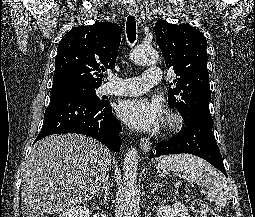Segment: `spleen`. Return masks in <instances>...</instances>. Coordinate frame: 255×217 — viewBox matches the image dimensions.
Listing matches in <instances>:
<instances>
[{
  "mask_svg": "<svg viewBox=\"0 0 255 217\" xmlns=\"http://www.w3.org/2000/svg\"><path fill=\"white\" fill-rule=\"evenodd\" d=\"M170 171H179L191 182L206 187L216 194L215 205L218 208L228 206L232 193L227 180L203 159L190 154L164 156L157 164V172L161 177H166Z\"/></svg>",
  "mask_w": 255,
  "mask_h": 217,
  "instance_id": "3e777b00",
  "label": "spleen"
}]
</instances>
